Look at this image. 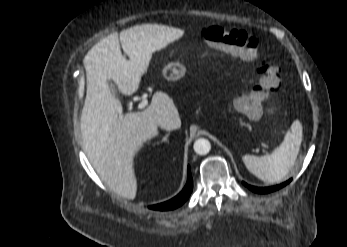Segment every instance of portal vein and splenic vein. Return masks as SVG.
<instances>
[{"label":"portal vein and splenic vein","mask_w":347,"mask_h":247,"mask_svg":"<svg viewBox=\"0 0 347 247\" xmlns=\"http://www.w3.org/2000/svg\"><path fill=\"white\" fill-rule=\"evenodd\" d=\"M147 105H148V100L145 97H143L142 101L138 105V108L142 109V108H145Z\"/></svg>","instance_id":"1"}]
</instances>
